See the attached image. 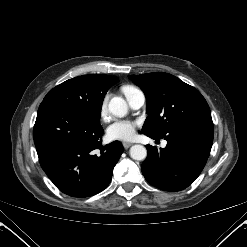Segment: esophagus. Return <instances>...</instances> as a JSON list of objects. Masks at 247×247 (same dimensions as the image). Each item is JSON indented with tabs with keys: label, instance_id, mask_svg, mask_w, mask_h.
Segmentation results:
<instances>
[{
	"label": "esophagus",
	"instance_id": "esophagus-1",
	"mask_svg": "<svg viewBox=\"0 0 247 247\" xmlns=\"http://www.w3.org/2000/svg\"><path fill=\"white\" fill-rule=\"evenodd\" d=\"M131 145H132V143L123 142V147H124L125 149H128Z\"/></svg>",
	"mask_w": 247,
	"mask_h": 247
}]
</instances>
